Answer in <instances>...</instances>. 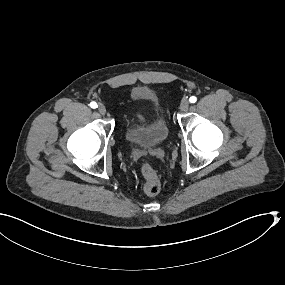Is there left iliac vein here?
I'll return each instance as SVG.
<instances>
[{
	"mask_svg": "<svg viewBox=\"0 0 285 285\" xmlns=\"http://www.w3.org/2000/svg\"><path fill=\"white\" fill-rule=\"evenodd\" d=\"M188 108H189L188 100H183L180 104L181 111L186 112L188 110Z\"/></svg>",
	"mask_w": 285,
	"mask_h": 285,
	"instance_id": "left-iliac-vein-1",
	"label": "left iliac vein"
}]
</instances>
